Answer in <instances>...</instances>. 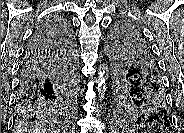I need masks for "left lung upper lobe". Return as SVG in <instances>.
I'll use <instances>...</instances> for the list:
<instances>
[{
  "instance_id": "5c2ea615",
  "label": "left lung upper lobe",
  "mask_w": 184,
  "mask_h": 133,
  "mask_svg": "<svg viewBox=\"0 0 184 133\" xmlns=\"http://www.w3.org/2000/svg\"><path fill=\"white\" fill-rule=\"evenodd\" d=\"M108 53L112 71V102L116 114L133 122H146L156 112L151 86L161 81L159 66L140 31L131 24H118L111 32ZM167 110L168 104H167Z\"/></svg>"
}]
</instances>
